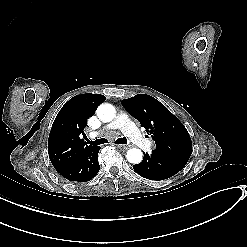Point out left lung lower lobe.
<instances>
[{
    "mask_svg": "<svg viewBox=\"0 0 247 247\" xmlns=\"http://www.w3.org/2000/svg\"><path fill=\"white\" fill-rule=\"evenodd\" d=\"M186 162L157 149L152 154L144 153L143 161L133 165L142 177L150 180H164L178 173Z\"/></svg>",
    "mask_w": 247,
    "mask_h": 247,
    "instance_id": "left-lung-lower-lobe-1",
    "label": "left lung lower lobe"
}]
</instances>
